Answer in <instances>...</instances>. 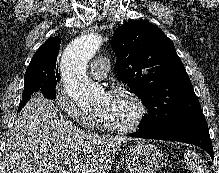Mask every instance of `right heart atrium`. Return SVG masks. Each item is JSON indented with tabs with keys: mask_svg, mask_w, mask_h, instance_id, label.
<instances>
[{
	"mask_svg": "<svg viewBox=\"0 0 219 173\" xmlns=\"http://www.w3.org/2000/svg\"><path fill=\"white\" fill-rule=\"evenodd\" d=\"M54 99L57 107L81 127L93 128L96 126V113L82 108L61 87L56 88Z\"/></svg>",
	"mask_w": 219,
	"mask_h": 173,
	"instance_id": "d8ad5b80",
	"label": "right heart atrium"
}]
</instances>
